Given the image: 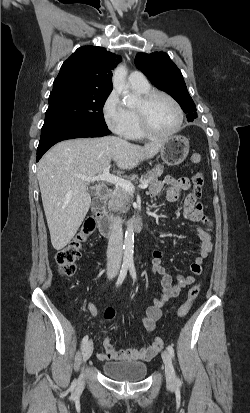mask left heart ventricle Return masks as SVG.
I'll return each mask as SVG.
<instances>
[{
	"label": "left heart ventricle",
	"instance_id": "obj_1",
	"mask_svg": "<svg viewBox=\"0 0 250 413\" xmlns=\"http://www.w3.org/2000/svg\"><path fill=\"white\" fill-rule=\"evenodd\" d=\"M149 120L156 132L167 133L176 126L178 113L168 99L157 96L149 106Z\"/></svg>",
	"mask_w": 250,
	"mask_h": 413
}]
</instances>
